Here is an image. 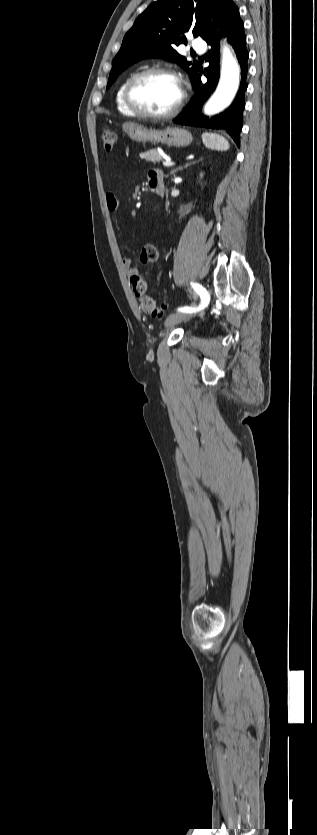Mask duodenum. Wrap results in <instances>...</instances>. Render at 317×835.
<instances>
[{"mask_svg":"<svg viewBox=\"0 0 317 835\" xmlns=\"http://www.w3.org/2000/svg\"><path fill=\"white\" fill-rule=\"evenodd\" d=\"M150 186H151V188H152V191H153L155 194H157V195H159V196H162V195H163V193H164V187H163L161 184H159L158 182H152V183L150 184Z\"/></svg>","mask_w":317,"mask_h":835,"instance_id":"1","label":"duodenum"}]
</instances>
